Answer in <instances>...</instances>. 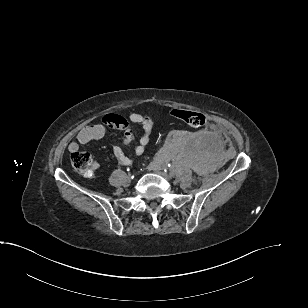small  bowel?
Masks as SVG:
<instances>
[{"mask_svg": "<svg viewBox=\"0 0 308 308\" xmlns=\"http://www.w3.org/2000/svg\"><path fill=\"white\" fill-rule=\"evenodd\" d=\"M130 122L138 124L143 131L134 149L135 156H141L150 141L154 122L149 115L137 112L130 113L128 119L116 114L105 115L101 123L88 125L80 130L77 134L76 141L71 142L68 149L70 152L77 151L80 144H87L93 140L102 139L110 129L119 130L123 132V139L120 146L113 148V154L119 164L130 166L133 160L123 150L124 147L129 146L134 140V132L130 126ZM93 168L94 170H98V163H94Z\"/></svg>", "mask_w": 308, "mask_h": 308, "instance_id": "c3829d8e", "label": "small bowel"}]
</instances>
